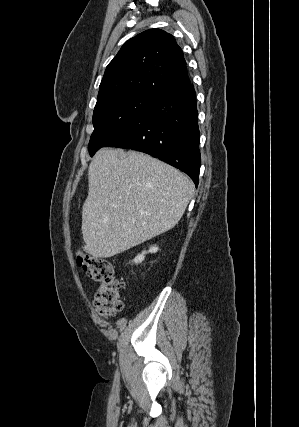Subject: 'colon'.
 <instances>
[{
  "label": "colon",
  "instance_id": "1",
  "mask_svg": "<svg viewBox=\"0 0 299 427\" xmlns=\"http://www.w3.org/2000/svg\"><path fill=\"white\" fill-rule=\"evenodd\" d=\"M76 262L96 283L98 288L94 297L96 312L111 318L123 309L121 289L123 284L114 276L112 264L104 258L90 255L84 251L76 253Z\"/></svg>",
  "mask_w": 299,
  "mask_h": 427
}]
</instances>
